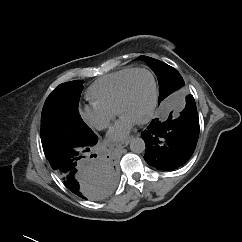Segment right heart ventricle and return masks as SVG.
<instances>
[{"label": "right heart ventricle", "mask_w": 242, "mask_h": 242, "mask_svg": "<svg viewBox=\"0 0 242 242\" xmlns=\"http://www.w3.org/2000/svg\"><path fill=\"white\" fill-rule=\"evenodd\" d=\"M134 69L136 68L126 67L99 78L88 88L87 97L96 105L116 111L122 82Z\"/></svg>", "instance_id": "1"}]
</instances>
